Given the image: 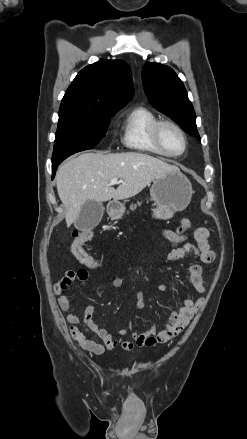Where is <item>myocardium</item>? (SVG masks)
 I'll return each instance as SVG.
<instances>
[{
	"mask_svg": "<svg viewBox=\"0 0 247 439\" xmlns=\"http://www.w3.org/2000/svg\"><path fill=\"white\" fill-rule=\"evenodd\" d=\"M166 126H169L173 129H175L179 133V135L181 136V138L183 140V149L181 152L173 154V153L168 152L165 149V147L162 143V139H161V132H162V129ZM152 138H153V141H154L155 145L157 146V148L165 156L176 158V157L182 156L187 150L188 141H187L186 134L183 131V129L176 122H174L172 120H168V119L159 120L153 127Z\"/></svg>",
	"mask_w": 247,
	"mask_h": 439,
	"instance_id": "obj_1",
	"label": "myocardium"
}]
</instances>
